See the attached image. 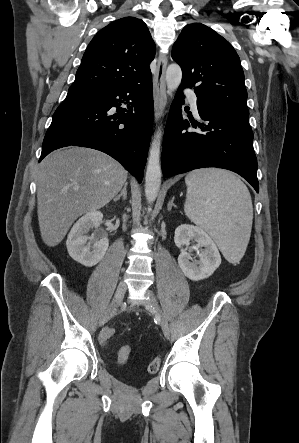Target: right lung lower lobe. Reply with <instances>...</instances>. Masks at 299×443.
<instances>
[{
	"label": "right lung lower lobe",
	"instance_id": "1",
	"mask_svg": "<svg viewBox=\"0 0 299 443\" xmlns=\"http://www.w3.org/2000/svg\"><path fill=\"white\" fill-rule=\"evenodd\" d=\"M129 100L128 109L120 107ZM113 107L117 113L112 115ZM152 124L151 77L93 93H68L53 115L39 161L58 148L89 147L118 160L141 182Z\"/></svg>",
	"mask_w": 299,
	"mask_h": 443
}]
</instances>
